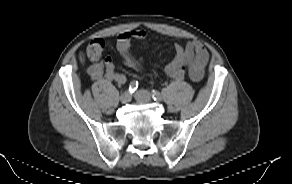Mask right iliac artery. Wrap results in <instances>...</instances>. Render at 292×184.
Wrapping results in <instances>:
<instances>
[{"label": "right iliac artery", "mask_w": 292, "mask_h": 184, "mask_svg": "<svg viewBox=\"0 0 292 184\" xmlns=\"http://www.w3.org/2000/svg\"><path fill=\"white\" fill-rule=\"evenodd\" d=\"M137 88H138V82H137V81H132V82L129 84V92H130V93L135 92V90H137Z\"/></svg>", "instance_id": "82829eb1"}]
</instances>
